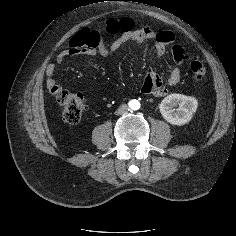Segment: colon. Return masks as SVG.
Masks as SVG:
<instances>
[{"instance_id": "1", "label": "colon", "mask_w": 236, "mask_h": 236, "mask_svg": "<svg viewBox=\"0 0 236 236\" xmlns=\"http://www.w3.org/2000/svg\"><path fill=\"white\" fill-rule=\"evenodd\" d=\"M189 67L195 79L201 80L205 77L207 69L201 61L193 60ZM56 96L64 121L69 124L78 123L87 107L85 97L81 93L64 89L59 90Z\"/></svg>"}]
</instances>
